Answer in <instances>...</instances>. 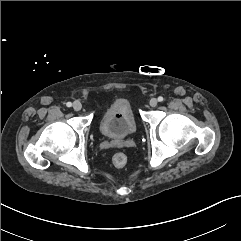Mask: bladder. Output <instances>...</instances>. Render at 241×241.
Here are the masks:
<instances>
[{
    "label": "bladder",
    "instance_id": "1",
    "mask_svg": "<svg viewBox=\"0 0 241 241\" xmlns=\"http://www.w3.org/2000/svg\"><path fill=\"white\" fill-rule=\"evenodd\" d=\"M136 129L137 125L131 105L127 99L122 97L112 101L99 122L101 134L110 139L129 138L134 135Z\"/></svg>",
    "mask_w": 241,
    "mask_h": 241
}]
</instances>
